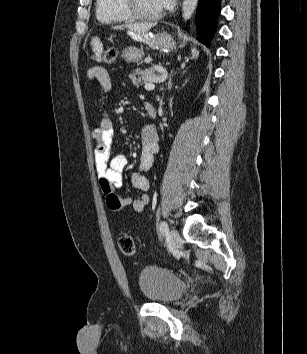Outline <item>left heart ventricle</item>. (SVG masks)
Returning a JSON list of instances; mask_svg holds the SVG:
<instances>
[{"instance_id":"left-heart-ventricle-1","label":"left heart ventricle","mask_w":307,"mask_h":354,"mask_svg":"<svg viewBox=\"0 0 307 354\" xmlns=\"http://www.w3.org/2000/svg\"><path fill=\"white\" fill-rule=\"evenodd\" d=\"M137 7L146 14H155L161 11L157 0H136Z\"/></svg>"}]
</instances>
